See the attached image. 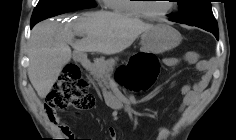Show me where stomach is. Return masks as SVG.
Here are the masks:
<instances>
[{
    "label": "stomach",
    "instance_id": "stomach-1",
    "mask_svg": "<svg viewBox=\"0 0 236 140\" xmlns=\"http://www.w3.org/2000/svg\"><path fill=\"white\" fill-rule=\"evenodd\" d=\"M181 40L179 31L166 23H159L142 34L141 52L160 54L174 49Z\"/></svg>",
    "mask_w": 236,
    "mask_h": 140
}]
</instances>
